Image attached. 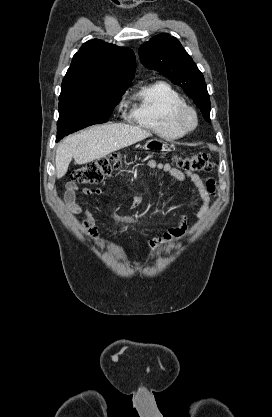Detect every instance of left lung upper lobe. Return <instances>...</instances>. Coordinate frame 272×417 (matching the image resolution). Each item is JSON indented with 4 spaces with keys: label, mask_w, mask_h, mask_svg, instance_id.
I'll list each match as a JSON object with an SVG mask.
<instances>
[{
    "label": "left lung upper lobe",
    "mask_w": 272,
    "mask_h": 417,
    "mask_svg": "<svg viewBox=\"0 0 272 417\" xmlns=\"http://www.w3.org/2000/svg\"><path fill=\"white\" fill-rule=\"evenodd\" d=\"M143 65L154 69L193 99L206 121H210V97L203 74L178 39L169 34H159L139 48Z\"/></svg>",
    "instance_id": "left-lung-upper-lobe-1"
}]
</instances>
